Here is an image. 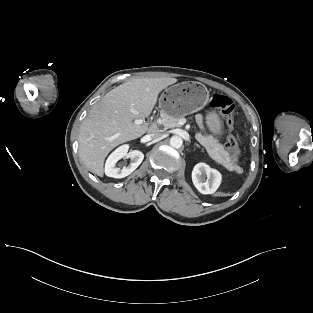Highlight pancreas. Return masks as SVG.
I'll return each mask as SVG.
<instances>
[{
    "instance_id": "1",
    "label": "pancreas",
    "mask_w": 313,
    "mask_h": 313,
    "mask_svg": "<svg viewBox=\"0 0 313 313\" xmlns=\"http://www.w3.org/2000/svg\"><path fill=\"white\" fill-rule=\"evenodd\" d=\"M183 116L177 117L163 113L161 115V124L164 129L175 128L179 126V121ZM196 140L206 149L208 155L217 163L229 171L241 173L242 169L231 159L230 154L224 149L216 139L204 136L201 133L195 135Z\"/></svg>"
}]
</instances>
